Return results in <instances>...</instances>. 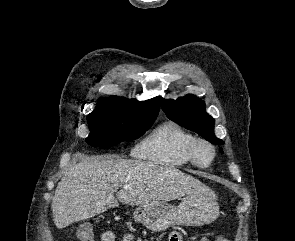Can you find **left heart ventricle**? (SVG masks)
I'll use <instances>...</instances> for the list:
<instances>
[{"label": "left heart ventricle", "mask_w": 295, "mask_h": 241, "mask_svg": "<svg viewBox=\"0 0 295 241\" xmlns=\"http://www.w3.org/2000/svg\"><path fill=\"white\" fill-rule=\"evenodd\" d=\"M199 158L202 162H207L210 159V152L206 148H202L199 153Z\"/></svg>", "instance_id": "left-heart-ventricle-1"}]
</instances>
